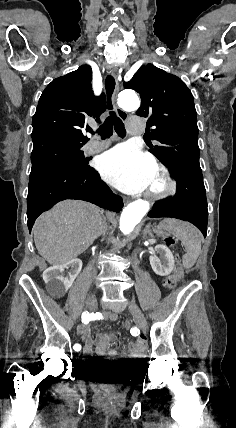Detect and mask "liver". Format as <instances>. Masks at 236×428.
Segmentation results:
<instances>
[{
	"label": "liver",
	"mask_w": 236,
	"mask_h": 428,
	"mask_svg": "<svg viewBox=\"0 0 236 428\" xmlns=\"http://www.w3.org/2000/svg\"><path fill=\"white\" fill-rule=\"evenodd\" d=\"M105 232L107 220L100 208L79 200L59 202L33 228L38 254L52 266L74 260Z\"/></svg>",
	"instance_id": "6515ba94"
}]
</instances>
